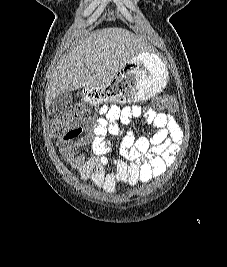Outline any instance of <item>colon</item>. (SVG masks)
I'll return each mask as SVG.
<instances>
[{
    "mask_svg": "<svg viewBox=\"0 0 227 267\" xmlns=\"http://www.w3.org/2000/svg\"><path fill=\"white\" fill-rule=\"evenodd\" d=\"M111 102H113V99H111ZM154 105L153 109L157 108V113H163L165 108L171 110L177 108L176 100L170 96L156 98ZM87 117L88 119H95V114H88L85 105L81 103L75 104L62 115L52 120L50 133L53 137H61L70 128L83 124Z\"/></svg>",
    "mask_w": 227,
    "mask_h": 267,
    "instance_id": "obj_1",
    "label": "colon"
}]
</instances>
